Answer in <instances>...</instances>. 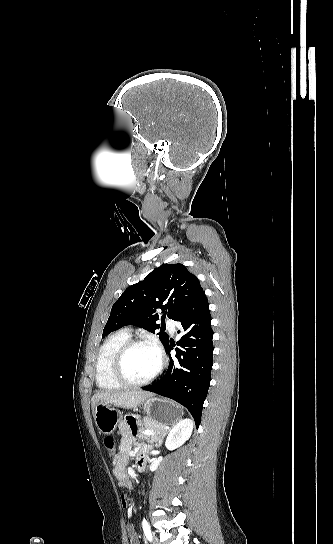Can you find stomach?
Here are the masks:
<instances>
[{
    "mask_svg": "<svg viewBox=\"0 0 333 544\" xmlns=\"http://www.w3.org/2000/svg\"><path fill=\"white\" fill-rule=\"evenodd\" d=\"M142 405L148 416L163 426L174 425L183 415L181 406L162 398H147ZM122 418V414L112 404L98 403L95 407V424L102 434H112Z\"/></svg>",
    "mask_w": 333,
    "mask_h": 544,
    "instance_id": "0dacf381",
    "label": "stomach"
}]
</instances>
